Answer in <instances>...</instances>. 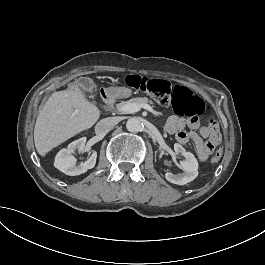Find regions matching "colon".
<instances>
[{"label": "colon", "mask_w": 265, "mask_h": 265, "mask_svg": "<svg viewBox=\"0 0 265 265\" xmlns=\"http://www.w3.org/2000/svg\"><path fill=\"white\" fill-rule=\"evenodd\" d=\"M126 81L130 88L151 96L162 105L170 106L177 116L194 117L207 112L203 99L186 86L134 74L128 75ZM221 157L222 149L219 148L211 160L217 163Z\"/></svg>", "instance_id": "5ec220e1"}]
</instances>
